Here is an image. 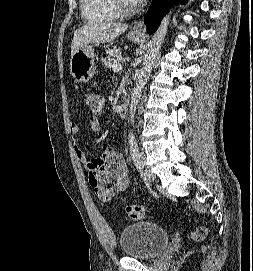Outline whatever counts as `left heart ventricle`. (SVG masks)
Wrapping results in <instances>:
<instances>
[{
	"mask_svg": "<svg viewBox=\"0 0 253 271\" xmlns=\"http://www.w3.org/2000/svg\"><path fill=\"white\" fill-rule=\"evenodd\" d=\"M131 4L135 5V3L133 2V0H129Z\"/></svg>",
	"mask_w": 253,
	"mask_h": 271,
	"instance_id": "1",
	"label": "left heart ventricle"
}]
</instances>
